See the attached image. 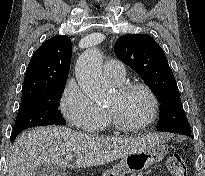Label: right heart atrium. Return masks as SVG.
Listing matches in <instances>:
<instances>
[{
	"instance_id": "obj_1",
	"label": "right heart atrium",
	"mask_w": 205,
	"mask_h": 176,
	"mask_svg": "<svg viewBox=\"0 0 205 176\" xmlns=\"http://www.w3.org/2000/svg\"><path fill=\"white\" fill-rule=\"evenodd\" d=\"M59 107L64 118L82 131L93 129L103 120V110L87 96L74 80H70L66 84Z\"/></svg>"
}]
</instances>
